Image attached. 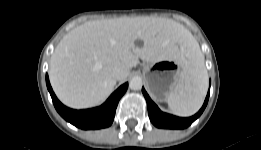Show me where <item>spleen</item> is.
I'll return each mask as SVG.
<instances>
[{"mask_svg":"<svg viewBox=\"0 0 261 150\" xmlns=\"http://www.w3.org/2000/svg\"><path fill=\"white\" fill-rule=\"evenodd\" d=\"M187 55L180 81L167 97L169 109L181 117L191 116L201 108L208 88V73L198 45L188 48Z\"/></svg>","mask_w":261,"mask_h":150,"instance_id":"obj_1","label":"spleen"}]
</instances>
